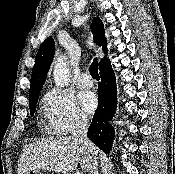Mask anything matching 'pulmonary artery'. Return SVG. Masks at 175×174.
I'll use <instances>...</instances> for the list:
<instances>
[{
    "mask_svg": "<svg viewBox=\"0 0 175 174\" xmlns=\"http://www.w3.org/2000/svg\"><path fill=\"white\" fill-rule=\"evenodd\" d=\"M78 85L82 88H90L93 81L88 73H81L78 77Z\"/></svg>",
    "mask_w": 175,
    "mask_h": 174,
    "instance_id": "pulmonary-artery-1",
    "label": "pulmonary artery"
}]
</instances>
